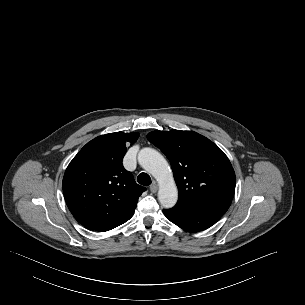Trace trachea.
<instances>
[{
	"label": "trachea",
	"mask_w": 305,
	"mask_h": 305,
	"mask_svg": "<svg viewBox=\"0 0 305 305\" xmlns=\"http://www.w3.org/2000/svg\"><path fill=\"white\" fill-rule=\"evenodd\" d=\"M137 181L139 184L148 186L151 184V178L147 173H140L139 176L137 177Z\"/></svg>",
	"instance_id": "3493384b"
}]
</instances>
